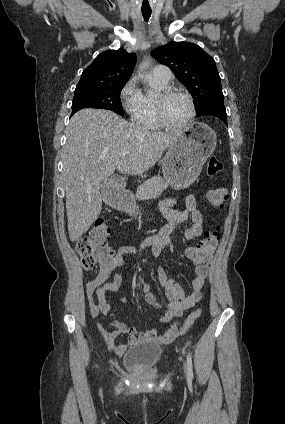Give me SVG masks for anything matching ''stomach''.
Here are the masks:
<instances>
[{"mask_svg":"<svg viewBox=\"0 0 285 424\" xmlns=\"http://www.w3.org/2000/svg\"><path fill=\"white\" fill-rule=\"evenodd\" d=\"M188 133L176 139L162 161L163 176L174 189L190 186L216 147V134L208 125L195 122L189 126ZM117 206L130 213L138 212L132 199L120 198Z\"/></svg>","mask_w":285,"mask_h":424,"instance_id":"0dacf381","label":"stomach"}]
</instances>
